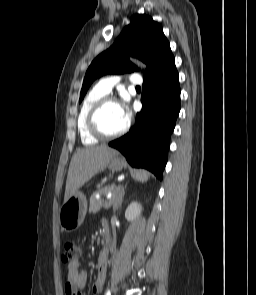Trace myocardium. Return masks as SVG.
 I'll return each instance as SVG.
<instances>
[{
	"label": "myocardium",
	"mask_w": 256,
	"mask_h": 295,
	"mask_svg": "<svg viewBox=\"0 0 256 295\" xmlns=\"http://www.w3.org/2000/svg\"><path fill=\"white\" fill-rule=\"evenodd\" d=\"M108 103H117L118 104V101L116 100V98L106 95L94 103V105L89 110V113L87 116L86 123H87L88 131L90 132L91 135H93L94 137H96L97 139H100V140H111V139L120 137L128 130V128L130 126V120H129V118H127L126 124L124 125V127L115 133H106L101 129V127L98 123V116H99L100 112L102 111V109Z\"/></svg>",
	"instance_id": "f54148a6"
}]
</instances>
